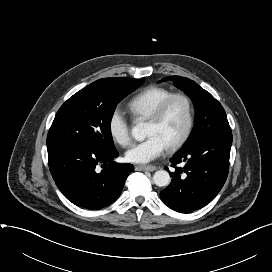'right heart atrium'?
Here are the masks:
<instances>
[{"label": "right heart atrium", "instance_id": "d8ad5b80", "mask_svg": "<svg viewBox=\"0 0 272 272\" xmlns=\"http://www.w3.org/2000/svg\"><path fill=\"white\" fill-rule=\"evenodd\" d=\"M108 132L111 138L121 146H127L130 143V122L123 111L115 108L108 119Z\"/></svg>", "mask_w": 272, "mask_h": 272}]
</instances>
